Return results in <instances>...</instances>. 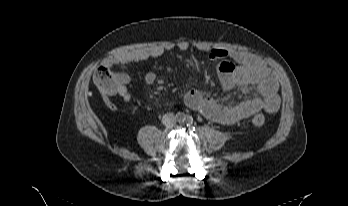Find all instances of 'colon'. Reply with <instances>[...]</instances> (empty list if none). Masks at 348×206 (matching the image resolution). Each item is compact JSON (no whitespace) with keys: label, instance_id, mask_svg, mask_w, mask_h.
Wrapping results in <instances>:
<instances>
[{"label":"colon","instance_id":"1","mask_svg":"<svg viewBox=\"0 0 348 206\" xmlns=\"http://www.w3.org/2000/svg\"><path fill=\"white\" fill-rule=\"evenodd\" d=\"M123 82V73L114 71L111 64L100 66L94 74L95 86L104 96L115 95L120 91ZM109 108L114 110L115 106L113 104H109ZM265 122L266 118L263 114L258 113L252 117V124L255 127H262Z\"/></svg>","mask_w":348,"mask_h":206}]
</instances>
